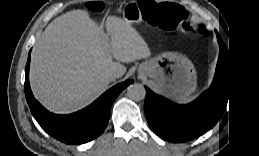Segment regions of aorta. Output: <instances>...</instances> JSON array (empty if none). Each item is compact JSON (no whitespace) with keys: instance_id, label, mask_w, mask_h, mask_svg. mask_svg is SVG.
<instances>
[{"instance_id":"obj_1","label":"aorta","mask_w":259,"mask_h":156,"mask_svg":"<svg viewBox=\"0 0 259 156\" xmlns=\"http://www.w3.org/2000/svg\"><path fill=\"white\" fill-rule=\"evenodd\" d=\"M127 94L131 99L135 101H141L145 98L146 91L142 84L135 83L128 86Z\"/></svg>"}]
</instances>
